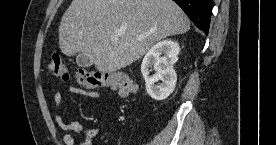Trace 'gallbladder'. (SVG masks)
<instances>
[{"mask_svg": "<svg viewBox=\"0 0 276 145\" xmlns=\"http://www.w3.org/2000/svg\"><path fill=\"white\" fill-rule=\"evenodd\" d=\"M76 62L80 67H90L93 65V62L85 53H79L76 57Z\"/></svg>", "mask_w": 276, "mask_h": 145, "instance_id": "obj_1", "label": "gallbladder"}]
</instances>
